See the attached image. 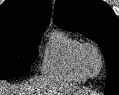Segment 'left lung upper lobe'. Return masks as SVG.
<instances>
[{
    "instance_id": "1",
    "label": "left lung upper lobe",
    "mask_w": 119,
    "mask_h": 95,
    "mask_svg": "<svg viewBox=\"0 0 119 95\" xmlns=\"http://www.w3.org/2000/svg\"><path fill=\"white\" fill-rule=\"evenodd\" d=\"M53 22L98 43L107 63L106 95H119V20L101 0H57Z\"/></svg>"
}]
</instances>
